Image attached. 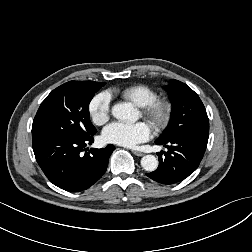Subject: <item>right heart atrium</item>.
Masks as SVG:
<instances>
[{"label": "right heart atrium", "instance_id": "d8ad5b80", "mask_svg": "<svg viewBox=\"0 0 252 252\" xmlns=\"http://www.w3.org/2000/svg\"><path fill=\"white\" fill-rule=\"evenodd\" d=\"M88 113L95 125L106 124L111 115L109 94L104 92L96 94L88 104Z\"/></svg>", "mask_w": 252, "mask_h": 252}]
</instances>
